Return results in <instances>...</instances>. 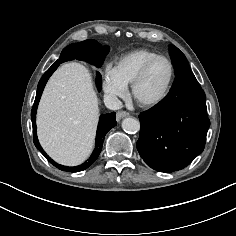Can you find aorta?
<instances>
[{"mask_svg":"<svg viewBox=\"0 0 236 236\" xmlns=\"http://www.w3.org/2000/svg\"><path fill=\"white\" fill-rule=\"evenodd\" d=\"M122 128L125 132L136 133L140 130V123L137 119L128 117L123 119Z\"/></svg>","mask_w":236,"mask_h":236,"instance_id":"obj_1","label":"aorta"}]
</instances>
